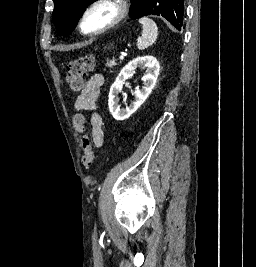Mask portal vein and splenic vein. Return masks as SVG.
Instances as JSON below:
<instances>
[{
	"label": "portal vein and splenic vein",
	"mask_w": 256,
	"mask_h": 267,
	"mask_svg": "<svg viewBox=\"0 0 256 267\" xmlns=\"http://www.w3.org/2000/svg\"><path fill=\"white\" fill-rule=\"evenodd\" d=\"M120 59H121V60H124V59H125V56H124V55H121V56H120Z\"/></svg>",
	"instance_id": "1"
}]
</instances>
